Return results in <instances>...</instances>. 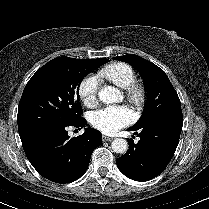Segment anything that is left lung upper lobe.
I'll list each match as a JSON object with an SVG mask.
<instances>
[{
    "label": "left lung upper lobe",
    "instance_id": "obj_1",
    "mask_svg": "<svg viewBox=\"0 0 209 209\" xmlns=\"http://www.w3.org/2000/svg\"><path fill=\"white\" fill-rule=\"evenodd\" d=\"M131 64L143 76L147 103L142 116L133 128L159 120H183L181 102L166 73L154 63L134 54L114 57Z\"/></svg>",
    "mask_w": 209,
    "mask_h": 209
}]
</instances>
